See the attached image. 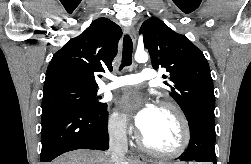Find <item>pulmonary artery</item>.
Instances as JSON below:
<instances>
[{
	"label": "pulmonary artery",
	"instance_id": "1",
	"mask_svg": "<svg viewBox=\"0 0 251 164\" xmlns=\"http://www.w3.org/2000/svg\"><path fill=\"white\" fill-rule=\"evenodd\" d=\"M156 78V72L151 68H145L140 73L129 74L116 77L112 82L104 85L102 91H110L119 87L135 85L142 82L153 81Z\"/></svg>",
	"mask_w": 251,
	"mask_h": 164
}]
</instances>
